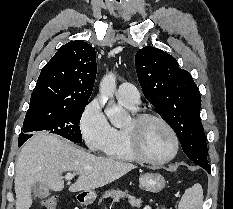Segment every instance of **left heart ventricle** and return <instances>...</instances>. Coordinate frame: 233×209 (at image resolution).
<instances>
[{"label": "left heart ventricle", "instance_id": "1", "mask_svg": "<svg viewBox=\"0 0 233 209\" xmlns=\"http://www.w3.org/2000/svg\"><path fill=\"white\" fill-rule=\"evenodd\" d=\"M130 126L131 122L126 128ZM140 146L149 158L163 159L171 154L173 141L169 132L161 123L149 120L141 128Z\"/></svg>", "mask_w": 233, "mask_h": 209}]
</instances>
